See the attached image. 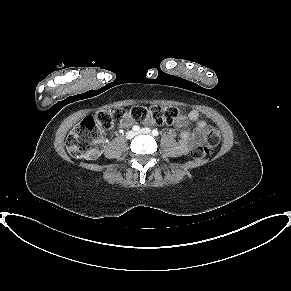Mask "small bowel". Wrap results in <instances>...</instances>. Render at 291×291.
<instances>
[{"mask_svg":"<svg viewBox=\"0 0 291 291\" xmlns=\"http://www.w3.org/2000/svg\"><path fill=\"white\" fill-rule=\"evenodd\" d=\"M189 120L194 123V129L191 132L184 131L179 136V144L183 150H190L195 146H199L204 142L205 122L200 118L199 112L192 110L185 116L177 119L175 124L182 127ZM133 121L129 117H125L120 122V127L126 128L131 126Z\"/></svg>","mask_w":291,"mask_h":291,"instance_id":"obj_1","label":"small bowel"}]
</instances>
